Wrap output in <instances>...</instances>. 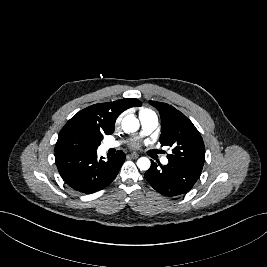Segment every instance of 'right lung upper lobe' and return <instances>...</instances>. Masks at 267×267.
<instances>
[{"mask_svg": "<svg viewBox=\"0 0 267 267\" xmlns=\"http://www.w3.org/2000/svg\"><path fill=\"white\" fill-rule=\"evenodd\" d=\"M140 105L141 102L134 98L94 104L79 111L64 128L77 127L112 134L117 117L126 109Z\"/></svg>", "mask_w": 267, "mask_h": 267, "instance_id": "cb5924a9", "label": "right lung upper lobe"}]
</instances>
